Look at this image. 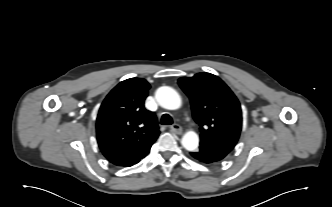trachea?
I'll return each instance as SVG.
<instances>
[{"label":"trachea","mask_w":332,"mask_h":207,"mask_svg":"<svg viewBox=\"0 0 332 207\" xmlns=\"http://www.w3.org/2000/svg\"><path fill=\"white\" fill-rule=\"evenodd\" d=\"M162 125H171L173 123V120L169 114H164L161 117V122Z\"/></svg>","instance_id":"3493384b"}]
</instances>
